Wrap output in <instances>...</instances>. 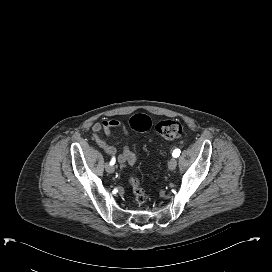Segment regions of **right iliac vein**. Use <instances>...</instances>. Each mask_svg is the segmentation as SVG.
Masks as SVG:
<instances>
[{
    "label": "right iliac vein",
    "instance_id": "obj_1",
    "mask_svg": "<svg viewBox=\"0 0 272 272\" xmlns=\"http://www.w3.org/2000/svg\"><path fill=\"white\" fill-rule=\"evenodd\" d=\"M105 169L108 173H113L115 171V167L111 164H106Z\"/></svg>",
    "mask_w": 272,
    "mask_h": 272
}]
</instances>
